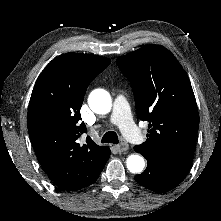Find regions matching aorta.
Here are the masks:
<instances>
[{"instance_id": "1", "label": "aorta", "mask_w": 221, "mask_h": 221, "mask_svg": "<svg viewBox=\"0 0 221 221\" xmlns=\"http://www.w3.org/2000/svg\"><path fill=\"white\" fill-rule=\"evenodd\" d=\"M91 110L97 114H107L112 107L110 94L104 89L93 90L88 98ZM126 166L132 173H141L145 167V160L141 155L132 154L126 160Z\"/></svg>"}]
</instances>
